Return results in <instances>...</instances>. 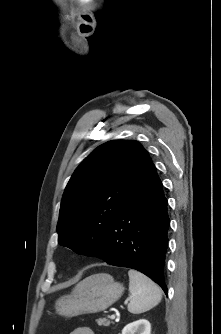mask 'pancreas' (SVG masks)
<instances>
[{"instance_id":"obj_1","label":"pancreas","mask_w":221,"mask_h":334,"mask_svg":"<svg viewBox=\"0 0 221 334\" xmlns=\"http://www.w3.org/2000/svg\"><path fill=\"white\" fill-rule=\"evenodd\" d=\"M96 322L99 326H110V324L113 323L107 320L106 318H99L96 320Z\"/></svg>"}]
</instances>
